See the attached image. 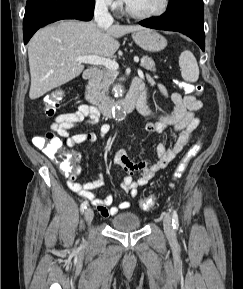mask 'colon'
<instances>
[{
	"label": "colon",
	"mask_w": 243,
	"mask_h": 289,
	"mask_svg": "<svg viewBox=\"0 0 243 289\" xmlns=\"http://www.w3.org/2000/svg\"><path fill=\"white\" fill-rule=\"evenodd\" d=\"M178 85L187 92L196 90L198 94H201L204 90L202 86L194 88L186 82H178ZM63 96V91L59 89L53 90L45 96L44 113L46 116L51 117L54 115ZM32 142L37 148L41 149L49 158L56 162L65 174H71L74 171L75 160L72 153L63 149V142L54 134L49 132L45 135L35 136L33 137ZM200 148L201 142H197L187 151L174 172V180H178L182 177L189 162L199 152ZM154 204L155 199L153 197H145L140 201V206L145 211L152 209Z\"/></svg>",
	"instance_id": "5ec220e1"
}]
</instances>
